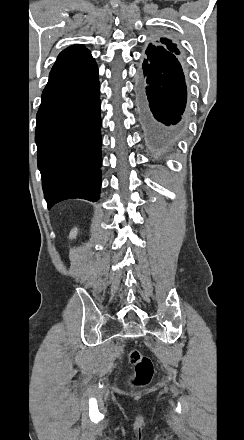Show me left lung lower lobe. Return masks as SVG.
Instances as JSON below:
<instances>
[{
  "instance_id": "0a47b994",
  "label": "left lung lower lobe",
  "mask_w": 244,
  "mask_h": 440,
  "mask_svg": "<svg viewBox=\"0 0 244 440\" xmlns=\"http://www.w3.org/2000/svg\"><path fill=\"white\" fill-rule=\"evenodd\" d=\"M144 59L137 73L136 95L144 141L152 148L174 146L183 136L182 115L187 100L181 64Z\"/></svg>"
}]
</instances>
